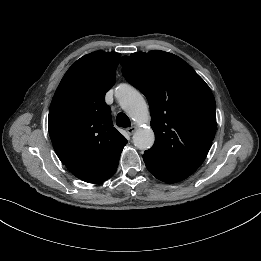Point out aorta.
I'll return each mask as SVG.
<instances>
[{
	"label": "aorta",
	"instance_id": "aorta-1",
	"mask_svg": "<svg viewBox=\"0 0 261 261\" xmlns=\"http://www.w3.org/2000/svg\"><path fill=\"white\" fill-rule=\"evenodd\" d=\"M115 95L121 108L139 125L133 135L134 145L140 150L151 148L155 141V135L152 128L146 125L150 120V114L143 96L127 84L119 85Z\"/></svg>",
	"mask_w": 261,
	"mask_h": 261
}]
</instances>
